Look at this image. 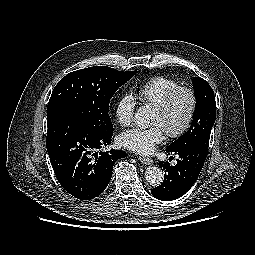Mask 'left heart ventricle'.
<instances>
[{"label": "left heart ventricle", "instance_id": "left-heart-ventricle-1", "mask_svg": "<svg viewBox=\"0 0 255 255\" xmlns=\"http://www.w3.org/2000/svg\"><path fill=\"white\" fill-rule=\"evenodd\" d=\"M190 109V98L186 93L178 94L165 114L154 110L152 125H160L164 131L176 130L185 121Z\"/></svg>", "mask_w": 255, "mask_h": 255}]
</instances>
